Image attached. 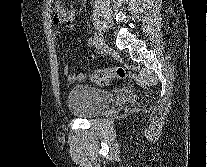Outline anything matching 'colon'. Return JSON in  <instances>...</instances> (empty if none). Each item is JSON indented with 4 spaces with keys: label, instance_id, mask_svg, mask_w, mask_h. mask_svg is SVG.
I'll return each mask as SVG.
<instances>
[{
    "label": "colon",
    "instance_id": "obj_1",
    "mask_svg": "<svg viewBox=\"0 0 207 167\" xmlns=\"http://www.w3.org/2000/svg\"><path fill=\"white\" fill-rule=\"evenodd\" d=\"M125 77L123 67L101 68L91 74V80L98 85H107L113 78L122 79Z\"/></svg>",
    "mask_w": 207,
    "mask_h": 167
}]
</instances>
